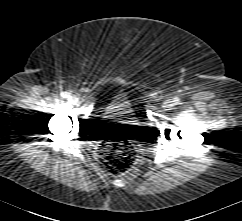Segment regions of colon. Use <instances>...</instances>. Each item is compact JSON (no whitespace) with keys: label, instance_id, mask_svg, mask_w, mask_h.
<instances>
[{"label":"colon","instance_id":"1","mask_svg":"<svg viewBox=\"0 0 242 221\" xmlns=\"http://www.w3.org/2000/svg\"><path fill=\"white\" fill-rule=\"evenodd\" d=\"M101 166L112 174H122L134 166L137 152L132 144L123 140L103 143L99 149Z\"/></svg>","mask_w":242,"mask_h":221}]
</instances>
